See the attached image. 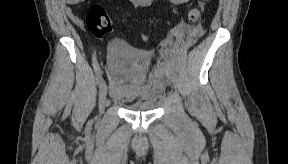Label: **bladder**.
<instances>
[{"label":"bladder","mask_w":288,"mask_h":164,"mask_svg":"<svg viewBox=\"0 0 288 164\" xmlns=\"http://www.w3.org/2000/svg\"><path fill=\"white\" fill-rule=\"evenodd\" d=\"M151 54L127 45L108 50L107 67L110 74V97L130 111H153L157 102L146 86Z\"/></svg>","instance_id":"1"}]
</instances>
